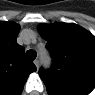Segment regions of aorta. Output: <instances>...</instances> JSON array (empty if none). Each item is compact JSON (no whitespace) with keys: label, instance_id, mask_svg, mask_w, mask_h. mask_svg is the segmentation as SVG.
I'll use <instances>...</instances> for the list:
<instances>
[{"label":"aorta","instance_id":"obj_1","mask_svg":"<svg viewBox=\"0 0 95 95\" xmlns=\"http://www.w3.org/2000/svg\"><path fill=\"white\" fill-rule=\"evenodd\" d=\"M40 55H41L42 63H43L45 66H48V65L50 64V61H51L48 52H47V51H43V52H41Z\"/></svg>","mask_w":95,"mask_h":95}]
</instances>
